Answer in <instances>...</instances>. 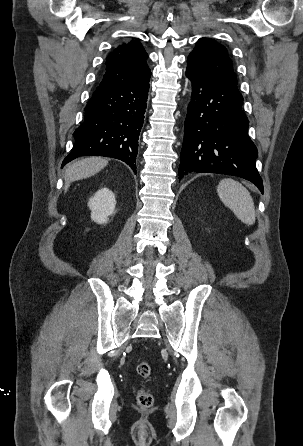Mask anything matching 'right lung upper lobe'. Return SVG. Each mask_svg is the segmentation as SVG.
<instances>
[{
  "mask_svg": "<svg viewBox=\"0 0 303 446\" xmlns=\"http://www.w3.org/2000/svg\"><path fill=\"white\" fill-rule=\"evenodd\" d=\"M148 55L138 40L118 46L107 56L103 79L94 93L139 81L151 74Z\"/></svg>",
  "mask_w": 303,
  "mask_h": 446,
  "instance_id": "obj_1",
  "label": "right lung upper lobe"
}]
</instances>
